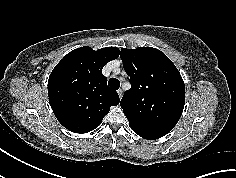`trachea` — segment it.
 Returning a JSON list of instances; mask_svg holds the SVG:
<instances>
[{
    "instance_id": "obj_1",
    "label": "trachea",
    "mask_w": 236,
    "mask_h": 178,
    "mask_svg": "<svg viewBox=\"0 0 236 178\" xmlns=\"http://www.w3.org/2000/svg\"><path fill=\"white\" fill-rule=\"evenodd\" d=\"M108 85L115 89V90H118L119 87H120V81L116 78H111L109 81H108Z\"/></svg>"
}]
</instances>
